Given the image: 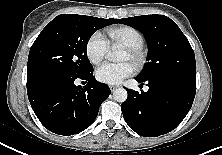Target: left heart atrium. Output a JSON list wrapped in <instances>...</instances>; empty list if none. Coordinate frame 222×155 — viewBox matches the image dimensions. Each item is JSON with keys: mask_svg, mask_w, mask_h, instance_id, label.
Masks as SVG:
<instances>
[{"mask_svg": "<svg viewBox=\"0 0 222 155\" xmlns=\"http://www.w3.org/2000/svg\"><path fill=\"white\" fill-rule=\"evenodd\" d=\"M133 72V64L125 61L122 63H104L97 68L95 75L100 82L113 85L131 76Z\"/></svg>", "mask_w": 222, "mask_h": 155, "instance_id": "39dd6f15", "label": "left heart atrium"}]
</instances>
